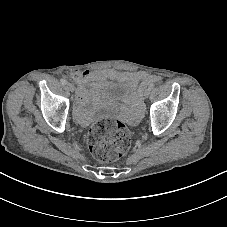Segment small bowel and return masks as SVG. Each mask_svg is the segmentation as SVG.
I'll return each mask as SVG.
<instances>
[{"instance_id": "1", "label": "small bowel", "mask_w": 227, "mask_h": 227, "mask_svg": "<svg viewBox=\"0 0 227 227\" xmlns=\"http://www.w3.org/2000/svg\"><path fill=\"white\" fill-rule=\"evenodd\" d=\"M72 78L78 83V110L77 115L81 121L86 120V116L83 110V105L87 98L90 96L92 89L88 85L96 80L103 78H121L126 80L133 86L141 83L142 87H145L150 81L154 80L153 77L143 73H119L115 70L108 69L103 71H91V70H75L71 73Z\"/></svg>"}]
</instances>
